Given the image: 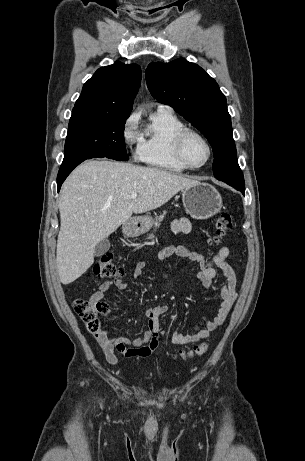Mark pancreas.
<instances>
[{"label": "pancreas", "mask_w": 305, "mask_h": 461, "mask_svg": "<svg viewBox=\"0 0 305 461\" xmlns=\"http://www.w3.org/2000/svg\"><path fill=\"white\" fill-rule=\"evenodd\" d=\"M166 215V211L163 212L160 216H156L155 222L153 223L155 228L160 226V222L164 219V216ZM152 236V234L150 235Z\"/></svg>", "instance_id": "pancreas-1"}]
</instances>
